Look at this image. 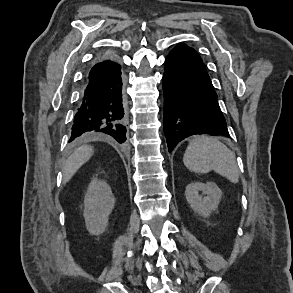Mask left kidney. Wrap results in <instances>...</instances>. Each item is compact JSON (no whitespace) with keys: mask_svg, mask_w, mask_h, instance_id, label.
<instances>
[{"mask_svg":"<svg viewBox=\"0 0 293 293\" xmlns=\"http://www.w3.org/2000/svg\"><path fill=\"white\" fill-rule=\"evenodd\" d=\"M199 192H202V195ZM221 196L222 192L214 182H192L185 190V197L190 207L204 217H208L218 208Z\"/></svg>","mask_w":293,"mask_h":293,"instance_id":"1","label":"left kidney"}]
</instances>
